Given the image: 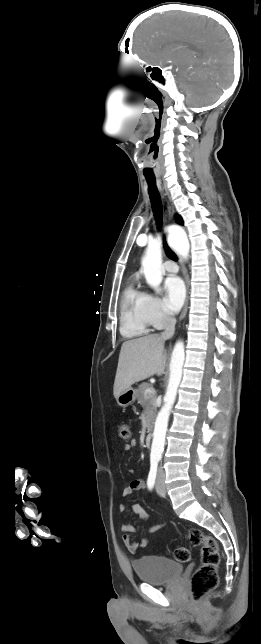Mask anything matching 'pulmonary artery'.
<instances>
[{"instance_id":"obj_1","label":"pulmonary artery","mask_w":261,"mask_h":644,"mask_svg":"<svg viewBox=\"0 0 261 644\" xmlns=\"http://www.w3.org/2000/svg\"><path fill=\"white\" fill-rule=\"evenodd\" d=\"M164 268L166 271L171 273H176L178 271V266L176 265V263L170 260L164 263Z\"/></svg>"}]
</instances>
